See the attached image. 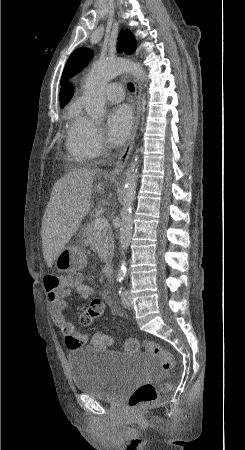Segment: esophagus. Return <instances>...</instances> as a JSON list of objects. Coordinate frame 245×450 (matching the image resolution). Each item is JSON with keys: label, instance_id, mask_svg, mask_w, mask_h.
Returning <instances> with one entry per match:
<instances>
[{"label": "esophagus", "instance_id": "esophagus-1", "mask_svg": "<svg viewBox=\"0 0 245 450\" xmlns=\"http://www.w3.org/2000/svg\"><path fill=\"white\" fill-rule=\"evenodd\" d=\"M133 83H134V86H135L134 97H135V104H136L135 121H134V125H133V128H132L129 140H128L127 144L125 145L124 149L122 150L115 168L110 173V175H109L110 177H117L123 172V170H124V168H125V166L127 164V161L129 159V156H130V154L132 152L133 145H134V140H135L136 133H137V130H138V125H139V122H140L141 87H140L139 82L135 78L133 79Z\"/></svg>", "mask_w": 245, "mask_h": 450}]
</instances>
